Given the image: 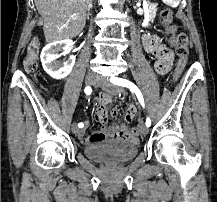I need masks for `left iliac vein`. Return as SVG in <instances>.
Returning <instances> with one entry per match:
<instances>
[{
	"mask_svg": "<svg viewBox=\"0 0 217 202\" xmlns=\"http://www.w3.org/2000/svg\"><path fill=\"white\" fill-rule=\"evenodd\" d=\"M94 84L99 85V87L101 89H103L104 91H106L107 93H109L111 95H117L118 93L122 92V88L114 86V85L106 82L105 80L97 81ZM140 131L143 135H147L148 134V127L145 124H141L140 125Z\"/></svg>",
	"mask_w": 217,
	"mask_h": 202,
	"instance_id": "4c4485c4",
	"label": "left iliac vein"
}]
</instances>
